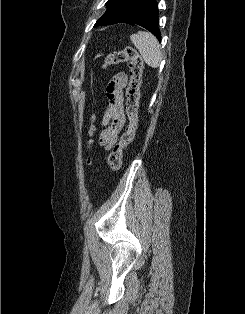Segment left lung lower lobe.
<instances>
[{
    "instance_id": "0a47b994",
    "label": "left lung lower lobe",
    "mask_w": 245,
    "mask_h": 314,
    "mask_svg": "<svg viewBox=\"0 0 245 314\" xmlns=\"http://www.w3.org/2000/svg\"><path fill=\"white\" fill-rule=\"evenodd\" d=\"M129 22L136 23L146 28L154 34L158 40L161 39V33L158 28V5L156 0H147L141 10Z\"/></svg>"
}]
</instances>
